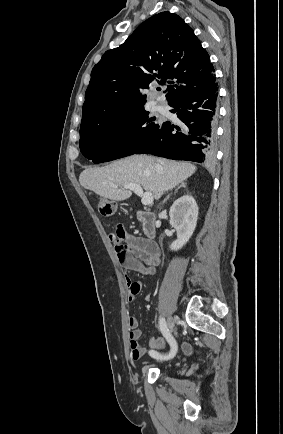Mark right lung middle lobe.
<instances>
[{
    "instance_id": "obj_1",
    "label": "right lung middle lobe",
    "mask_w": 283,
    "mask_h": 434,
    "mask_svg": "<svg viewBox=\"0 0 283 434\" xmlns=\"http://www.w3.org/2000/svg\"><path fill=\"white\" fill-rule=\"evenodd\" d=\"M144 107L114 115L80 130V151L94 163L129 156L159 129Z\"/></svg>"
}]
</instances>
